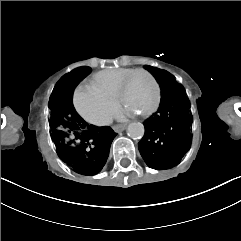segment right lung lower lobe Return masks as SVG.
<instances>
[{"label":"right lung lower lobe","mask_w":241,"mask_h":241,"mask_svg":"<svg viewBox=\"0 0 241 241\" xmlns=\"http://www.w3.org/2000/svg\"><path fill=\"white\" fill-rule=\"evenodd\" d=\"M90 71L88 67H82L69 73L66 77L68 92L73 94L74 87ZM64 109L74 141L71 144H55L58 156L79 174L91 176L99 173L117 134L110 127L89 125L76 112L72 102L65 103Z\"/></svg>","instance_id":"obj_1"}]
</instances>
